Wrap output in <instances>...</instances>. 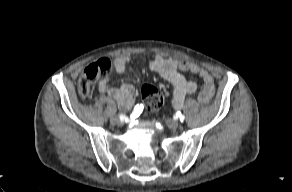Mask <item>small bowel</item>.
Wrapping results in <instances>:
<instances>
[{
  "label": "small bowel",
  "instance_id": "obj_1",
  "mask_svg": "<svg viewBox=\"0 0 292 192\" xmlns=\"http://www.w3.org/2000/svg\"><path fill=\"white\" fill-rule=\"evenodd\" d=\"M130 61L131 58L128 56L116 58L114 60V70L117 73L124 74ZM148 67L172 84L171 102L175 107L182 106L186 97L197 90V84L186 79L184 76L185 72L196 74L202 79V91L199 93V99L202 102H208L213 96V78L207 70L197 64L156 55L148 62ZM98 90L112 97L122 110H129L135 102V89L131 84L112 86L108 83V77H106L99 82Z\"/></svg>",
  "mask_w": 292,
  "mask_h": 192
}]
</instances>
